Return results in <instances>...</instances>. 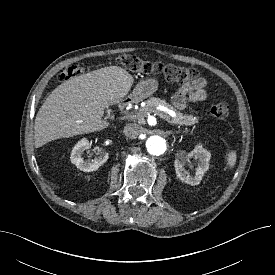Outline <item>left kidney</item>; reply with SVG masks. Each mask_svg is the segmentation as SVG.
I'll return each instance as SVG.
<instances>
[{
	"label": "left kidney",
	"instance_id": "1",
	"mask_svg": "<svg viewBox=\"0 0 275 275\" xmlns=\"http://www.w3.org/2000/svg\"><path fill=\"white\" fill-rule=\"evenodd\" d=\"M211 153L204 149L201 144H198L193 151L187 153L185 151H180L177 153L174 167L177 177L192 186L199 185L204 174L209 169ZM190 158H194L199 161L194 175H191L185 166L190 161Z\"/></svg>",
	"mask_w": 275,
	"mask_h": 275
}]
</instances>
